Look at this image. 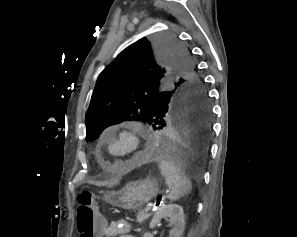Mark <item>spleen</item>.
Wrapping results in <instances>:
<instances>
[{"instance_id":"spleen-1","label":"spleen","mask_w":297,"mask_h":237,"mask_svg":"<svg viewBox=\"0 0 297 237\" xmlns=\"http://www.w3.org/2000/svg\"><path fill=\"white\" fill-rule=\"evenodd\" d=\"M158 166L166 184L171 187L168 195L170 201H176L179 198L191 193L192 183L185 172L178 167L172 160L160 159Z\"/></svg>"}]
</instances>
